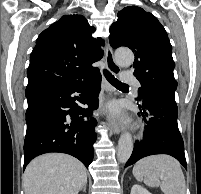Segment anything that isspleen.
I'll list each match as a JSON object with an SVG mask.
<instances>
[{
	"instance_id": "1",
	"label": "spleen",
	"mask_w": 201,
	"mask_h": 194,
	"mask_svg": "<svg viewBox=\"0 0 201 194\" xmlns=\"http://www.w3.org/2000/svg\"><path fill=\"white\" fill-rule=\"evenodd\" d=\"M133 175L149 187H159L164 194H185V178L179 162L169 155H153L139 160Z\"/></svg>"
}]
</instances>
